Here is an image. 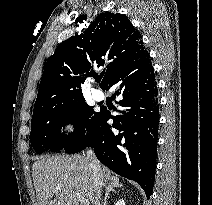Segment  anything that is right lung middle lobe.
Returning <instances> with one entry per match:
<instances>
[{"mask_svg":"<svg viewBox=\"0 0 212 205\" xmlns=\"http://www.w3.org/2000/svg\"><path fill=\"white\" fill-rule=\"evenodd\" d=\"M100 112H95L81 99L67 105L43 106L33 110L30 141L40 154L45 150L60 151L79 140L88 131ZM73 124L76 130L67 137L60 134L63 125Z\"/></svg>","mask_w":212,"mask_h":205,"instance_id":"obj_1","label":"right lung middle lobe"}]
</instances>
